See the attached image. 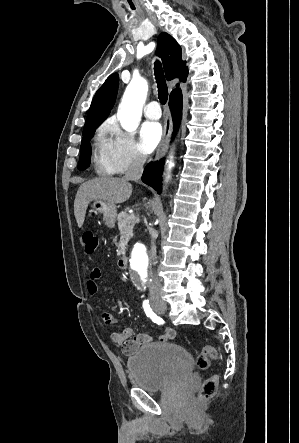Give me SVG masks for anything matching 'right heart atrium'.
Listing matches in <instances>:
<instances>
[{
    "label": "right heart atrium",
    "mask_w": 299,
    "mask_h": 443,
    "mask_svg": "<svg viewBox=\"0 0 299 443\" xmlns=\"http://www.w3.org/2000/svg\"><path fill=\"white\" fill-rule=\"evenodd\" d=\"M102 131L109 136L110 155L118 173L141 168L146 156L130 135L122 131L114 122H107Z\"/></svg>",
    "instance_id": "obj_1"
}]
</instances>
